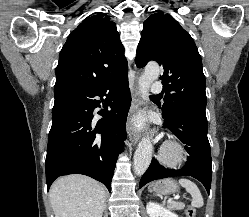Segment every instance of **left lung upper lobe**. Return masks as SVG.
<instances>
[{"label":"left lung upper lobe","instance_id":"left-lung-upper-lobe-1","mask_svg":"<svg viewBox=\"0 0 249 217\" xmlns=\"http://www.w3.org/2000/svg\"><path fill=\"white\" fill-rule=\"evenodd\" d=\"M151 60L164 69L160 76L165 92L161 110L164 118L177 107L205 110L201 56L189 33L169 14H152L143 23L135 62L141 68Z\"/></svg>","mask_w":249,"mask_h":217}]
</instances>
